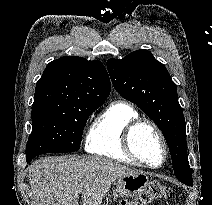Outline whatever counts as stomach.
Returning <instances> with one entry per match:
<instances>
[{
  "instance_id": "obj_1",
  "label": "stomach",
  "mask_w": 212,
  "mask_h": 205,
  "mask_svg": "<svg viewBox=\"0 0 212 205\" xmlns=\"http://www.w3.org/2000/svg\"><path fill=\"white\" fill-rule=\"evenodd\" d=\"M149 178L142 173H131L118 178L116 189L113 192V200L118 197L132 198L142 192L147 187ZM112 196H108L103 205H111Z\"/></svg>"
}]
</instances>
